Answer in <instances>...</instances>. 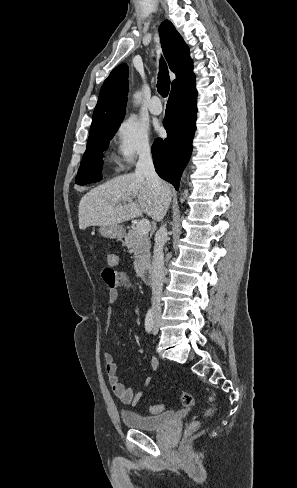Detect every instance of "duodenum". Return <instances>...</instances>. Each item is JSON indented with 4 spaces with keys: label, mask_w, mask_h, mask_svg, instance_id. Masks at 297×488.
Masks as SVG:
<instances>
[{
    "label": "duodenum",
    "mask_w": 297,
    "mask_h": 488,
    "mask_svg": "<svg viewBox=\"0 0 297 488\" xmlns=\"http://www.w3.org/2000/svg\"><path fill=\"white\" fill-rule=\"evenodd\" d=\"M138 274H139L140 278L145 283H147V284L152 283V281H153V272H152V268L150 266L146 265V266H143V267L139 268Z\"/></svg>",
    "instance_id": "duodenum-1"
}]
</instances>
